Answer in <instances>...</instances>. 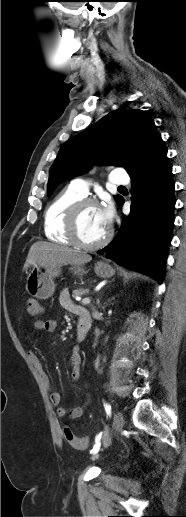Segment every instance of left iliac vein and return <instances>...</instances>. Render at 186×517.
Returning <instances> with one entry per match:
<instances>
[{
	"mask_svg": "<svg viewBox=\"0 0 186 517\" xmlns=\"http://www.w3.org/2000/svg\"><path fill=\"white\" fill-rule=\"evenodd\" d=\"M124 425V418H123V415L120 413V412H116L115 415H114V419H113V430L116 431V430H119L123 427ZM110 442V435H106L103 437V446L106 447L108 446ZM97 457V454L94 455V458Z\"/></svg>",
	"mask_w": 186,
	"mask_h": 517,
	"instance_id": "left-iliac-vein-1",
	"label": "left iliac vein"
}]
</instances>
